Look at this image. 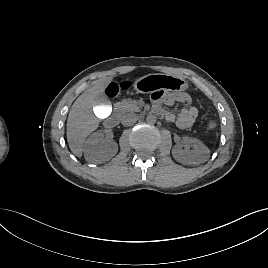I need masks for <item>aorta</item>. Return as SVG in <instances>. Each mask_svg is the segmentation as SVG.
Masks as SVG:
<instances>
[{"label":"aorta","instance_id":"762f6f07","mask_svg":"<svg viewBox=\"0 0 268 268\" xmlns=\"http://www.w3.org/2000/svg\"><path fill=\"white\" fill-rule=\"evenodd\" d=\"M146 122L148 124H155L156 123V116L153 115V114H149L147 117H146Z\"/></svg>","mask_w":268,"mask_h":268}]
</instances>
